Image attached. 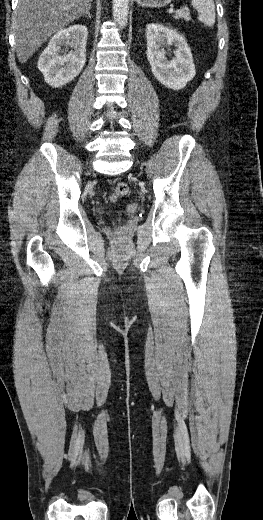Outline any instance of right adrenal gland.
I'll return each mask as SVG.
<instances>
[{
	"label": "right adrenal gland",
	"instance_id": "2a0ac1e0",
	"mask_svg": "<svg viewBox=\"0 0 263 520\" xmlns=\"http://www.w3.org/2000/svg\"><path fill=\"white\" fill-rule=\"evenodd\" d=\"M90 9H91V7L88 9V11H86L85 14H83L82 17H87L88 16L91 19Z\"/></svg>",
	"mask_w": 263,
	"mask_h": 520
}]
</instances>
